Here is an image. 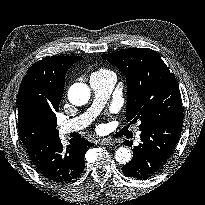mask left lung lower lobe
Masks as SVG:
<instances>
[{
  "instance_id": "obj_1",
  "label": "left lung lower lobe",
  "mask_w": 205,
  "mask_h": 205,
  "mask_svg": "<svg viewBox=\"0 0 205 205\" xmlns=\"http://www.w3.org/2000/svg\"><path fill=\"white\" fill-rule=\"evenodd\" d=\"M183 118L166 120L141 130V143L134 146L132 160L123 166L127 177L148 179L167 163L179 140ZM132 146V142L125 141Z\"/></svg>"
}]
</instances>
